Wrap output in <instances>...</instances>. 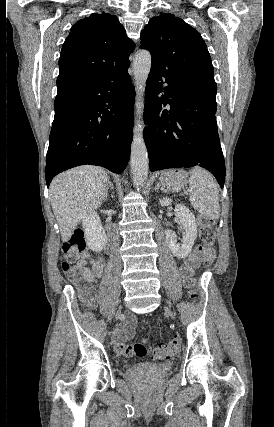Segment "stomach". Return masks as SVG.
<instances>
[{"label": "stomach", "mask_w": 274, "mask_h": 427, "mask_svg": "<svg viewBox=\"0 0 274 427\" xmlns=\"http://www.w3.org/2000/svg\"><path fill=\"white\" fill-rule=\"evenodd\" d=\"M187 180L184 170H168V172H161L157 184L165 192H179L186 186Z\"/></svg>", "instance_id": "1"}]
</instances>
